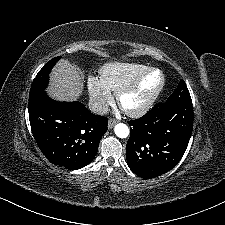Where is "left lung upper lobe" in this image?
Wrapping results in <instances>:
<instances>
[{
    "instance_id": "1",
    "label": "left lung upper lobe",
    "mask_w": 225,
    "mask_h": 225,
    "mask_svg": "<svg viewBox=\"0 0 225 225\" xmlns=\"http://www.w3.org/2000/svg\"><path fill=\"white\" fill-rule=\"evenodd\" d=\"M173 103H188L191 104L192 100L188 88L183 80H180L175 91L169 96L165 104Z\"/></svg>"
}]
</instances>
